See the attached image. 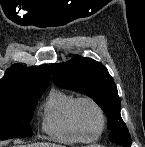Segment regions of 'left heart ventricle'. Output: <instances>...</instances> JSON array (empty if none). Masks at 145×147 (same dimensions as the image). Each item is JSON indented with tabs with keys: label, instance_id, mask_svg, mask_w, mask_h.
<instances>
[{
	"label": "left heart ventricle",
	"instance_id": "left-heart-ventricle-1",
	"mask_svg": "<svg viewBox=\"0 0 145 147\" xmlns=\"http://www.w3.org/2000/svg\"><path fill=\"white\" fill-rule=\"evenodd\" d=\"M81 115L88 133L95 134L100 127V118L96 110L90 105H83Z\"/></svg>",
	"mask_w": 145,
	"mask_h": 147
}]
</instances>
